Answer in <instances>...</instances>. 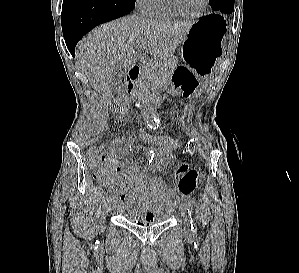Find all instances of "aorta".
Here are the masks:
<instances>
[{"mask_svg": "<svg viewBox=\"0 0 299 273\" xmlns=\"http://www.w3.org/2000/svg\"><path fill=\"white\" fill-rule=\"evenodd\" d=\"M158 122L159 120L156 113L153 110L149 111L146 116L147 126L151 129H155L156 127H158Z\"/></svg>", "mask_w": 299, "mask_h": 273, "instance_id": "1", "label": "aorta"}]
</instances>
